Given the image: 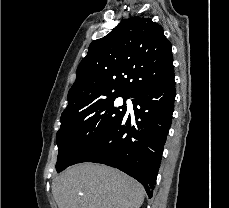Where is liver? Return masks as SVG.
<instances>
[{
	"label": "liver",
	"instance_id": "1",
	"mask_svg": "<svg viewBox=\"0 0 229 208\" xmlns=\"http://www.w3.org/2000/svg\"><path fill=\"white\" fill-rule=\"evenodd\" d=\"M58 208H140L145 190L123 172L103 164H76L52 182Z\"/></svg>",
	"mask_w": 229,
	"mask_h": 208
}]
</instances>
